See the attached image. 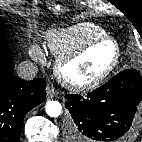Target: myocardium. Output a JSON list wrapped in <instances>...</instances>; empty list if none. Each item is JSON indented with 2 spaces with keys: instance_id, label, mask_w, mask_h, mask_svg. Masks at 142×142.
<instances>
[{
  "instance_id": "myocardium-1",
  "label": "myocardium",
  "mask_w": 142,
  "mask_h": 142,
  "mask_svg": "<svg viewBox=\"0 0 142 142\" xmlns=\"http://www.w3.org/2000/svg\"><path fill=\"white\" fill-rule=\"evenodd\" d=\"M104 43H109L113 47L112 60L105 67V69H103L95 77L84 81L77 80L68 73V68L70 65L79 61L85 55H87L91 50ZM120 56H121V49L119 47V44L114 39L108 36H103L90 41L89 43L85 44L84 46L80 47L75 51H72L68 54L59 57L55 65V73L58 79L61 81V83L66 87L79 92L89 91L98 87L113 73V71L116 69V67L119 64Z\"/></svg>"
}]
</instances>
